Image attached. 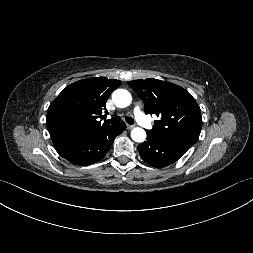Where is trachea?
<instances>
[{
    "mask_svg": "<svg viewBox=\"0 0 253 253\" xmlns=\"http://www.w3.org/2000/svg\"><path fill=\"white\" fill-rule=\"evenodd\" d=\"M120 121H121V118L119 116H115V117L111 118L110 120H107L106 122H108L110 124H116ZM126 122L128 124L132 125V124H134V119L132 117H127Z\"/></svg>",
    "mask_w": 253,
    "mask_h": 253,
    "instance_id": "1",
    "label": "trachea"
}]
</instances>
